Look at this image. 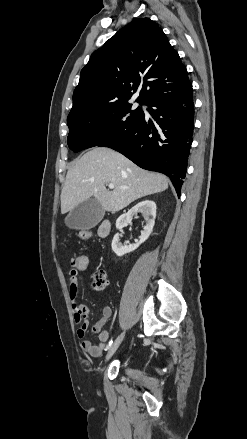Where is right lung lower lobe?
I'll return each mask as SVG.
<instances>
[{
    "label": "right lung lower lobe",
    "mask_w": 247,
    "mask_h": 439,
    "mask_svg": "<svg viewBox=\"0 0 247 439\" xmlns=\"http://www.w3.org/2000/svg\"><path fill=\"white\" fill-rule=\"evenodd\" d=\"M153 118H143L122 138L107 147L139 167L167 175L180 197L194 129L192 84L160 95L148 103Z\"/></svg>",
    "instance_id": "right-lung-lower-lobe-1"
}]
</instances>
